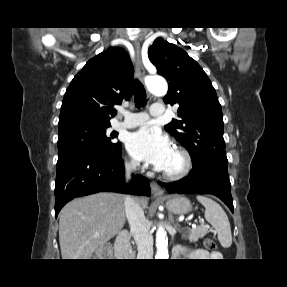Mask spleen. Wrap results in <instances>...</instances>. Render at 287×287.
<instances>
[{"instance_id":"obj_1","label":"spleen","mask_w":287,"mask_h":287,"mask_svg":"<svg viewBox=\"0 0 287 287\" xmlns=\"http://www.w3.org/2000/svg\"><path fill=\"white\" fill-rule=\"evenodd\" d=\"M197 200L205 207V219L213 226L218 234V240L224 248L232 244L230 222L223 208L211 198L198 195Z\"/></svg>"}]
</instances>
